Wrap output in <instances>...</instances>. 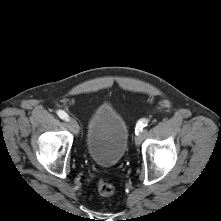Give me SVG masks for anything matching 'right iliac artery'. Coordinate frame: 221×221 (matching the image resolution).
Masks as SVG:
<instances>
[{
	"instance_id": "right-iliac-artery-1",
	"label": "right iliac artery",
	"mask_w": 221,
	"mask_h": 221,
	"mask_svg": "<svg viewBox=\"0 0 221 221\" xmlns=\"http://www.w3.org/2000/svg\"><path fill=\"white\" fill-rule=\"evenodd\" d=\"M58 116L63 119V120H67L68 119V115L66 112L62 111V110H58L57 111Z\"/></svg>"
}]
</instances>
